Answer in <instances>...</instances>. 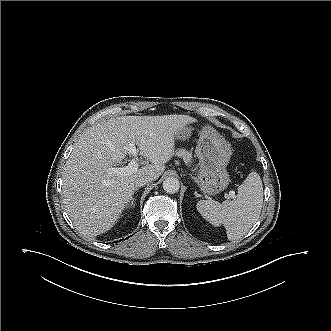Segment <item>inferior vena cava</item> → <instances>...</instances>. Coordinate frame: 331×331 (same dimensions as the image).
Instances as JSON below:
<instances>
[{
  "mask_svg": "<svg viewBox=\"0 0 331 331\" xmlns=\"http://www.w3.org/2000/svg\"><path fill=\"white\" fill-rule=\"evenodd\" d=\"M153 180H154L153 176L142 175L135 179L134 184L136 187H141Z\"/></svg>",
  "mask_w": 331,
  "mask_h": 331,
  "instance_id": "obj_1",
  "label": "inferior vena cava"
}]
</instances>
